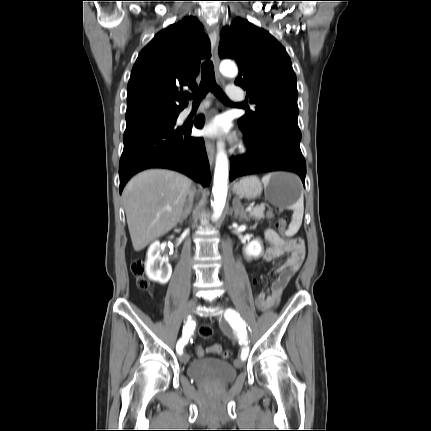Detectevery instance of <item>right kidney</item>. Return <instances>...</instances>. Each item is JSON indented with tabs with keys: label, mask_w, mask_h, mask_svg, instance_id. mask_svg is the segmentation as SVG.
Masks as SVG:
<instances>
[{
	"label": "right kidney",
	"mask_w": 431,
	"mask_h": 431,
	"mask_svg": "<svg viewBox=\"0 0 431 431\" xmlns=\"http://www.w3.org/2000/svg\"><path fill=\"white\" fill-rule=\"evenodd\" d=\"M146 274L152 281L166 284L172 275L171 265L160 255V242H153L147 252Z\"/></svg>",
	"instance_id": "right-kidney-1"
}]
</instances>
